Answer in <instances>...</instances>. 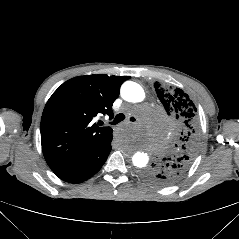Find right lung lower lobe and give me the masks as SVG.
Returning a JSON list of instances; mask_svg holds the SVG:
<instances>
[{"label":"right lung lower lobe","instance_id":"98d812e1","mask_svg":"<svg viewBox=\"0 0 239 239\" xmlns=\"http://www.w3.org/2000/svg\"><path fill=\"white\" fill-rule=\"evenodd\" d=\"M112 132L83 156L52 171L69 183H81L89 179L101 169L111 151Z\"/></svg>","mask_w":239,"mask_h":239}]
</instances>
